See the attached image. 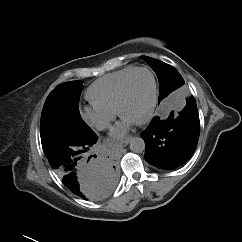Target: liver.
<instances>
[{
    "label": "liver",
    "instance_id": "obj_1",
    "mask_svg": "<svg viewBox=\"0 0 242 242\" xmlns=\"http://www.w3.org/2000/svg\"><path fill=\"white\" fill-rule=\"evenodd\" d=\"M106 194H103V193H90L89 192V199L90 200H98V199H101L102 197H104Z\"/></svg>",
    "mask_w": 242,
    "mask_h": 242
}]
</instances>
